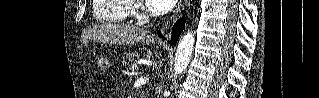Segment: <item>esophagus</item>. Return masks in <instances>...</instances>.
I'll use <instances>...</instances> for the list:
<instances>
[{"mask_svg":"<svg viewBox=\"0 0 319 98\" xmlns=\"http://www.w3.org/2000/svg\"><path fill=\"white\" fill-rule=\"evenodd\" d=\"M188 4V0H180L174 11L173 14L171 15V17L163 24V30H168L172 24L177 20V18L182 14V12L185 9V6Z\"/></svg>","mask_w":319,"mask_h":98,"instance_id":"1","label":"esophagus"}]
</instances>
